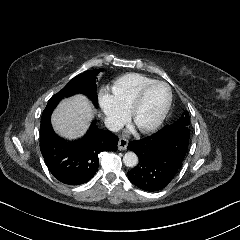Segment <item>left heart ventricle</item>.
Here are the masks:
<instances>
[{"instance_id":"b2bd125f","label":"left heart ventricle","mask_w":240,"mask_h":240,"mask_svg":"<svg viewBox=\"0 0 240 240\" xmlns=\"http://www.w3.org/2000/svg\"><path fill=\"white\" fill-rule=\"evenodd\" d=\"M166 98L167 90L164 86H153L147 93L141 108L135 116L134 125L138 128L154 121L160 114Z\"/></svg>"}]
</instances>
